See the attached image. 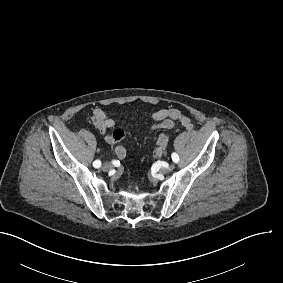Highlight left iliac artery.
<instances>
[{
	"label": "left iliac artery",
	"instance_id": "obj_1",
	"mask_svg": "<svg viewBox=\"0 0 283 283\" xmlns=\"http://www.w3.org/2000/svg\"><path fill=\"white\" fill-rule=\"evenodd\" d=\"M171 157L173 162L177 163L179 161V156L176 153H172Z\"/></svg>",
	"mask_w": 283,
	"mask_h": 283
}]
</instances>
